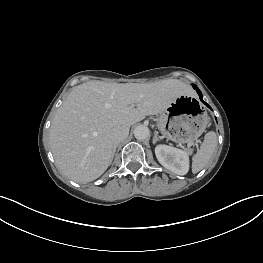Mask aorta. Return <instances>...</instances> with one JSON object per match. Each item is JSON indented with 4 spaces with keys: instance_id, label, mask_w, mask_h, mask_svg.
<instances>
[{
    "instance_id": "1",
    "label": "aorta",
    "mask_w": 263,
    "mask_h": 263,
    "mask_svg": "<svg viewBox=\"0 0 263 263\" xmlns=\"http://www.w3.org/2000/svg\"><path fill=\"white\" fill-rule=\"evenodd\" d=\"M134 136L137 140H145L150 136L149 128L145 125H138L134 129Z\"/></svg>"
}]
</instances>
